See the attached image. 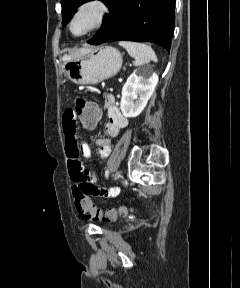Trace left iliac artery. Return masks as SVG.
<instances>
[{
  "label": "left iliac artery",
  "instance_id": "obj_1",
  "mask_svg": "<svg viewBox=\"0 0 240 288\" xmlns=\"http://www.w3.org/2000/svg\"><path fill=\"white\" fill-rule=\"evenodd\" d=\"M105 176H106V178H108V176H109V170H106Z\"/></svg>",
  "mask_w": 240,
  "mask_h": 288
}]
</instances>
